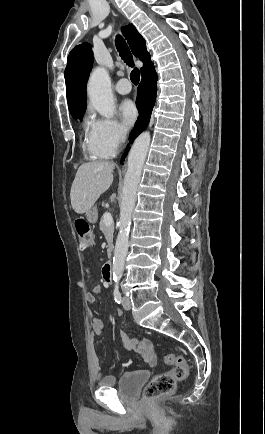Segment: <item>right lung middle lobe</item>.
I'll use <instances>...</instances> for the list:
<instances>
[{"mask_svg":"<svg viewBox=\"0 0 265 434\" xmlns=\"http://www.w3.org/2000/svg\"><path fill=\"white\" fill-rule=\"evenodd\" d=\"M69 110L74 119H83L84 112L86 110V101L75 102L69 104Z\"/></svg>","mask_w":265,"mask_h":434,"instance_id":"1","label":"right lung middle lobe"}]
</instances>
